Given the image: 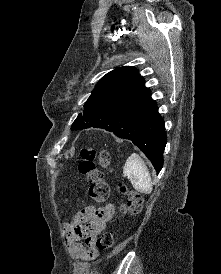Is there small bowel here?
Wrapping results in <instances>:
<instances>
[{"label":"small bowel","instance_id":"small-bowel-1","mask_svg":"<svg viewBox=\"0 0 221 274\" xmlns=\"http://www.w3.org/2000/svg\"><path fill=\"white\" fill-rule=\"evenodd\" d=\"M114 210L112 204H106L100 208L88 206L80 210L69 223L65 224L67 246L74 258L90 261L98 256L97 236L105 229Z\"/></svg>","mask_w":221,"mask_h":274}]
</instances>
